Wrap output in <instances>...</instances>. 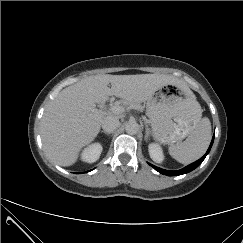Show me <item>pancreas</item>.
I'll return each mask as SVG.
<instances>
[{
    "mask_svg": "<svg viewBox=\"0 0 243 243\" xmlns=\"http://www.w3.org/2000/svg\"><path fill=\"white\" fill-rule=\"evenodd\" d=\"M120 106L126 107V106H135V105L130 103V102H127V101L123 100V101L120 102Z\"/></svg>",
    "mask_w": 243,
    "mask_h": 243,
    "instance_id": "pancreas-1",
    "label": "pancreas"
}]
</instances>
